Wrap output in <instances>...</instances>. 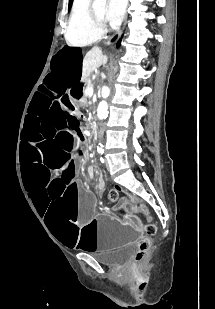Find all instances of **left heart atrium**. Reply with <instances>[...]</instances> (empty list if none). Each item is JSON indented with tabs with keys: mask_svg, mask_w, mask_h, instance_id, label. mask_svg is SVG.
Segmentation results:
<instances>
[{
	"mask_svg": "<svg viewBox=\"0 0 215 309\" xmlns=\"http://www.w3.org/2000/svg\"><path fill=\"white\" fill-rule=\"evenodd\" d=\"M108 7L111 8L107 10L105 20H108L109 24L118 22L122 16V12H126L127 10L123 0H108Z\"/></svg>",
	"mask_w": 215,
	"mask_h": 309,
	"instance_id": "39dd6f15",
	"label": "left heart atrium"
}]
</instances>
